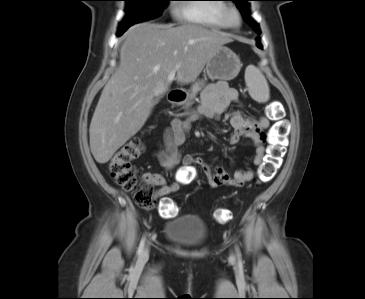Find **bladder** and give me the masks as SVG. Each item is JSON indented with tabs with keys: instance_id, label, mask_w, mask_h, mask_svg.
I'll list each match as a JSON object with an SVG mask.
<instances>
[{
	"instance_id": "obj_1",
	"label": "bladder",
	"mask_w": 365,
	"mask_h": 299,
	"mask_svg": "<svg viewBox=\"0 0 365 299\" xmlns=\"http://www.w3.org/2000/svg\"><path fill=\"white\" fill-rule=\"evenodd\" d=\"M208 230L203 220L192 214L180 216L166 223L165 239L173 245L192 248L201 245L207 238Z\"/></svg>"
}]
</instances>
